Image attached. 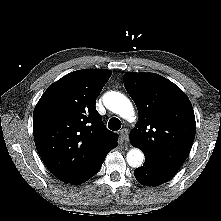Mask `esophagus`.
Instances as JSON below:
<instances>
[{
    "mask_svg": "<svg viewBox=\"0 0 221 221\" xmlns=\"http://www.w3.org/2000/svg\"><path fill=\"white\" fill-rule=\"evenodd\" d=\"M120 136H121V138L124 140V141H128V139H129V131H128V129H122L121 131H120Z\"/></svg>",
    "mask_w": 221,
    "mask_h": 221,
    "instance_id": "1",
    "label": "esophagus"
}]
</instances>
